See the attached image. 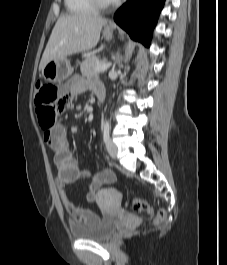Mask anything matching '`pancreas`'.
<instances>
[{
    "label": "pancreas",
    "mask_w": 227,
    "mask_h": 265,
    "mask_svg": "<svg viewBox=\"0 0 227 265\" xmlns=\"http://www.w3.org/2000/svg\"><path fill=\"white\" fill-rule=\"evenodd\" d=\"M105 61L99 59L97 56L93 55L87 59H85L81 65H80V70L82 75L87 76V77H92L97 75L99 72L95 71V67L97 65H102L104 64Z\"/></svg>",
    "instance_id": "pancreas-1"
}]
</instances>
